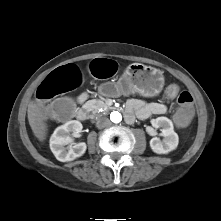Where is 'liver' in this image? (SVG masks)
Instances as JSON below:
<instances>
[{"instance_id":"liver-1","label":"liver","mask_w":221,"mask_h":221,"mask_svg":"<svg viewBox=\"0 0 221 221\" xmlns=\"http://www.w3.org/2000/svg\"><path fill=\"white\" fill-rule=\"evenodd\" d=\"M28 122L35 135V137L43 142L47 137L48 126L46 123L47 117L45 111L42 109L41 105L31 101L28 104Z\"/></svg>"}]
</instances>
